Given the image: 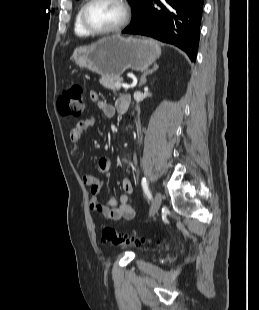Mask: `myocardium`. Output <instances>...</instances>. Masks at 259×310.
<instances>
[{
  "label": "myocardium",
  "mask_w": 259,
  "mask_h": 310,
  "mask_svg": "<svg viewBox=\"0 0 259 310\" xmlns=\"http://www.w3.org/2000/svg\"><path fill=\"white\" fill-rule=\"evenodd\" d=\"M95 1L96 0H87V2L82 6L80 13L81 24L89 34L97 36L110 35L122 31L128 25L131 17L130 5L126 0H115L123 10V17L121 21L114 27L107 29H97L91 26L87 20L86 14L89 6Z\"/></svg>",
  "instance_id": "obj_1"
}]
</instances>
